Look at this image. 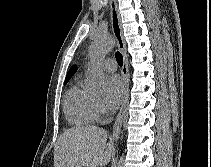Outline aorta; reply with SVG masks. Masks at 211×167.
Masks as SVG:
<instances>
[{
    "mask_svg": "<svg viewBox=\"0 0 211 167\" xmlns=\"http://www.w3.org/2000/svg\"><path fill=\"white\" fill-rule=\"evenodd\" d=\"M113 47V39L107 35H103L94 40L89 48V55L91 59L89 87L92 90L100 91L106 83V76L100 67V62L113 49ZM117 167H124L123 156L120 157Z\"/></svg>",
    "mask_w": 211,
    "mask_h": 167,
    "instance_id": "obj_1",
    "label": "aorta"
}]
</instances>
